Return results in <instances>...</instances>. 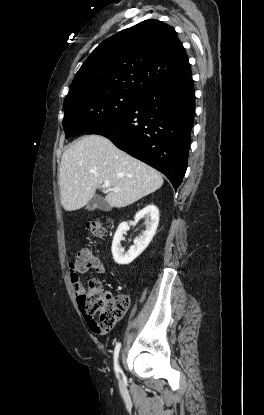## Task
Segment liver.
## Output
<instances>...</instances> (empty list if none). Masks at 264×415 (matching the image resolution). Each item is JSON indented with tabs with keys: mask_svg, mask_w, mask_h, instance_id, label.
<instances>
[{
	"mask_svg": "<svg viewBox=\"0 0 264 415\" xmlns=\"http://www.w3.org/2000/svg\"><path fill=\"white\" fill-rule=\"evenodd\" d=\"M105 181L120 189L110 190L105 197L116 208L126 207L163 185L157 170L121 151L103 136H83L64 151L59 186L61 205L66 211L88 204Z\"/></svg>",
	"mask_w": 264,
	"mask_h": 415,
	"instance_id": "obj_1",
	"label": "liver"
}]
</instances>
